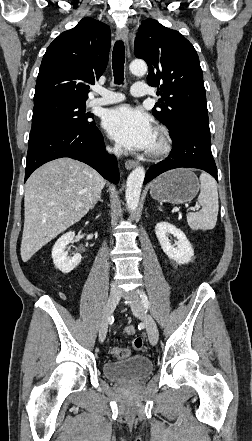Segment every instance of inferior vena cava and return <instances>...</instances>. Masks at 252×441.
<instances>
[{"label": "inferior vena cava", "mask_w": 252, "mask_h": 441, "mask_svg": "<svg viewBox=\"0 0 252 441\" xmlns=\"http://www.w3.org/2000/svg\"><path fill=\"white\" fill-rule=\"evenodd\" d=\"M108 151L111 152V153H114L117 156L121 155V151L118 148H114V149L108 148ZM112 291H114L116 293L120 292V290H119V288L117 287L116 284H112Z\"/></svg>", "instance_id": "1"}]
</instances>
